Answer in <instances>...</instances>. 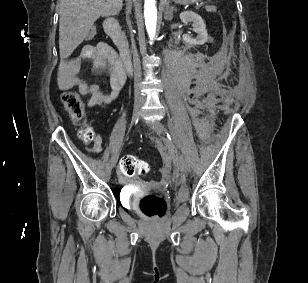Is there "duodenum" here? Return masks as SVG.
I'll return each mask as SVG.
<instances>
[{"instance_id": "duodenum-1", "label": "duodenum", "mask_w": 308, "mask_h": 283, "mask_svg": "<svg viewBox=\"0 0 308 283\" xmlns=\"http://www.w3.org/2000/svg\"><path fill=\"white\" fill-rule=\"evenodd\" d=\"M104 30L120 52L121 66L123 70L130 73L132 71V57L121 34L118 20L113 17L107 18L104 22Z\"/></svg>"}]
</instances>
